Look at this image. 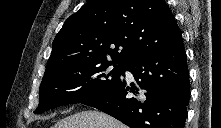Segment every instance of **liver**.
Masks as SVG:
<instances>
[{"label": "liver", "instance_id": "1", "mask_svg": "<svg viewBox=\"0 0 221 128\" xmlns=\"http://www.w3.org/2000/svg\"><path fill=\"white\" fill-rule=\"evenodd\" d=\"M52 128H127L117 119L96 110L82 111L57 122Z\"/></svg>", "mask_w": 221, "mask_h": 128}]
</instances>
